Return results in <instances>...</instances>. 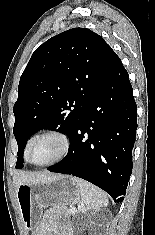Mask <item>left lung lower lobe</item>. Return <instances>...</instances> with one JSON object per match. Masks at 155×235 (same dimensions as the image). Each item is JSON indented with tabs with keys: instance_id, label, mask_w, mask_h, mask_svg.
<instances>
[{
	"instance_id": "0a47b994",
	"label": "left lung lower lobe",
	"mask_w": 155,
	"mask_h": 235,
	"mask_svg": "<svg viewBox=\"0 0 155 235\" xmlns=\"http://www.w3.org/2000/svg\"><path fill=\"white\" fill-rule=\"evenodd\" d=\"M136 129L137 105L119 60L72 132L67 156L48 170L85 179L121 202L132 172Z\"/></svg>"
}]
</instances>
